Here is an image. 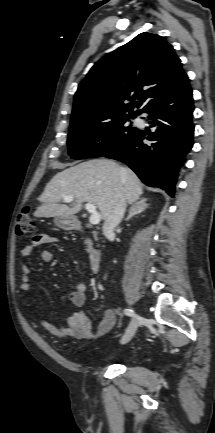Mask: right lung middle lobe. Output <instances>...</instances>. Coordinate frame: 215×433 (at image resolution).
Listing matches in <instances>:
<instances>
[{"mask_svg": "<svg viewBox=\"0 0 215 433\" xmlns=\"http://www.w3.org/2000/svg\"><path fill=\"white\" fill-rule=\"evenodd\" d=\"M136 116L118 117L102 122L71 125L68 136L69 155L73 159L106 156L132 139L138 129L127 121Z\"/></svg>", "mask_w": 215, "mask_h": 433, "instance_id": "1", "label": "right lung middle lobe"}]
</instances>
